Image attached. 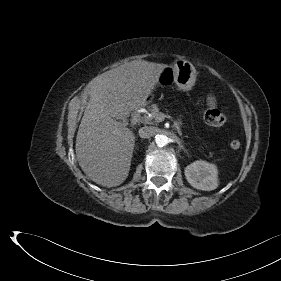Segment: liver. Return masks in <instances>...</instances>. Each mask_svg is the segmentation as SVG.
Returning a JSON list of instances; mask_svg holds the SVG:
<instances>
[{
    "label": "liver",
    "mask_w": 281,
    "mask_h": 281,
    "mask_svg": "<svg viewBox=\"0 0 281 281\" xmlns=\"http://www.w3.org/2000/svg\"><path fill=\"white\" fill-rule=\"evenodd\" d=\"M166 67L135 60L92 80L75 150L81 169L96 184L115 187L126 180L135 135L117 120H124L131 111L145 106Z\"/></svg>",
    "instance_id": "1"
}]
</instances>
